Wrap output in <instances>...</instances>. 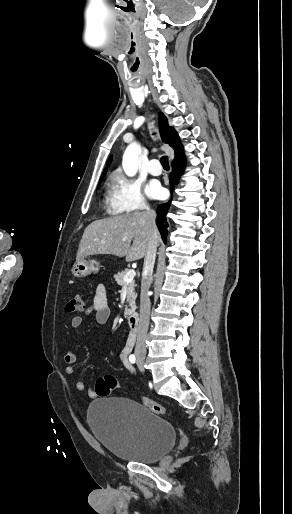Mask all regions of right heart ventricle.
I'll return each mask as SVG.
<instances>
[{
  "label": "right heart ventricle",
  "instance_id": "obj_1",
  "mask_svg": "<svg viewBox=\"0 0 292 514\" xmlns=\"http://www.w3.org/2000/svg\"><path fill=\"white\" fill-rule=\"evenodd\" d=\"M104 208L106 213L112 216L118 215L121 212V210L114 203L110 192L104 195Z\"/></svg>",
  "mask_w": 292,
  "mask_h": 514
}]
</instances>
